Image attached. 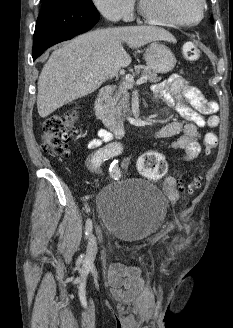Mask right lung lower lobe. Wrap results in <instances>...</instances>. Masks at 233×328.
<instances>
[{
  "instance_id": "obj_1",
  "label": "right lung lower lobe",
  "mask_w": 233,
  "mask_h": 328,
  "mask_svg": "<svg viewBox=\"0 0 233 328\" xmlns=\"http://www.w3.org/2000/svg\"><path fill=\"white\" fill-rule=\"evenodd\" d=\"M98 20L99 13L96 8L42 3L34 32L33 59L52 45L86 32Z\"/></svg>"
}]
</instances>
